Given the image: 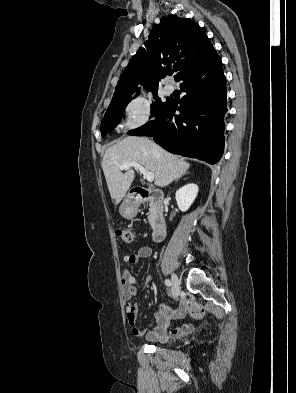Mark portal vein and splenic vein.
I'll return each mask as SVG.
<instances>
[{
	"mask_svg": "<svg viewBox=\"0 0 296 393\" xmlns=\"http://www.w3.org/2000/svg\"><path fill=\"white\" fill-rule=\"evenodd\" d=\"M129 167H135L141 174H143L144 178L147 179V181L152 182L154 180V174L147 171L143 166H141L139 163L131 161V162H125L120 166L121 170H126Z\"/></svg>",
	"mask_w": 296,
	"mask_h": 393,
	"instance_id": "obj_1",
	"label": "portal vein and splenic vein"
}]
</instances>
